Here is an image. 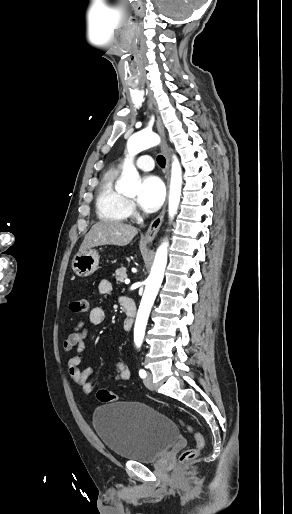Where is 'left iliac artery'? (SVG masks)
<instances>
[{"label": "left iliac artery", "instance_id": "1", "mask_svg": "<svg viewBox=\"0 0 292 514\" xmlns=\"http://www.w3.org/2000/svg\"><path fill=\"white\" fill-rule=\"evenodd\" d=\"M139 376L141 378H145L147 376L146 371L144 369H140L139 370Z\"/></svg>", "mask_w": 292, "mask_h": 514}]
</instances>
